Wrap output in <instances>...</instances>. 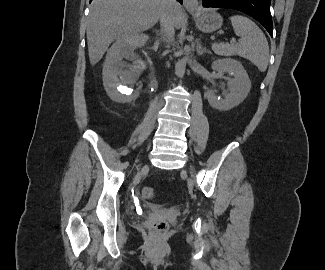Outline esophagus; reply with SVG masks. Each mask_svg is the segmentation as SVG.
I'll use <instances>...</instances> for the list:
<instances>
[{
  "instance_id": "esophagus-1",
  "label": "esophagus",
  "mask_w": 325,
  "mask_h": 270,
  "mask_svg": "<svg viewBox=\"0 0 325 270\" xmlns=\"http://www.w3.org/2000/svg\"><path fill=\"white\" fill-rule=\"evenodd\" d=\"M184 6L188 11H193L198 8L199 2L198 0H183Z\"/></svg>"
}]
</instances>
